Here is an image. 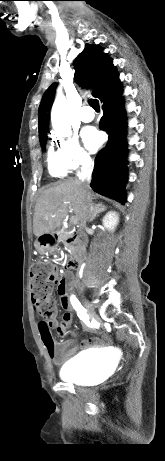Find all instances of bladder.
<instances>
[{"label":"bladder","mask_w":165,"mask_h":461,"mask_svg":"<svg viewBox=\"0 0 165 461\" xmlns=\"http://www.w3.org/2000/svg\"><path fill=\"white\" fill-rule=\"evenodd\" d=\"M108 358L103 353L84 352L69 360L59 372L62 380L85 385L98 380Z\"/></svg>","instance_id":"bladder-1"}]
</instances>
